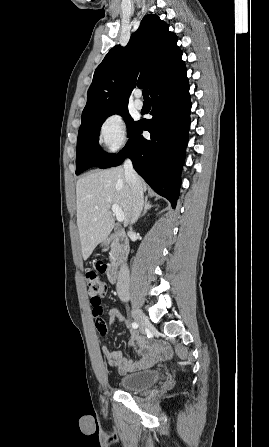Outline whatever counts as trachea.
I'll list each match as a JSON object with an SVG mask.
<instances>
[{
    "mask_svg": "<svg viewBox=\"0 0 269 447\" xmlns=\"http://www.w3.org/2000/svg\"><path fill=\"white\" fill-rule=\"evenodd\" d=\"M143 97L145 98V100H149V91L147 89L143 90Z\"/></svg>",
    "mask_w": 269,
    "mask_h": 447,
    "instance_id": "obj_1",
    "label": "trachea"
}]
</instances>
